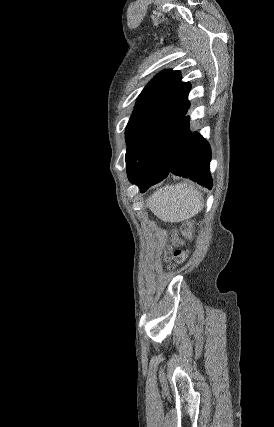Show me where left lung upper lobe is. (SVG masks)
Returning a JSON list of instances; mask_svg holds the SVG:
<instances>
[{
  "label": "left lung upper lobe",
  "mask_w": 274,
  "mask_h": 427,
  "mask_svg": "<svg viewBox=\"0 0 274 427\" xmlns=\"http://www.w3.org/2000/svg\"><path fill=\"white\" fill-rule=\"evenodd\" d=\"M188 87V82H181L178 71H164L141 92L125 133L127 173L133 167L149 129Z\"/></svg>",
  "instance_id": "1"
}]
</instances>
